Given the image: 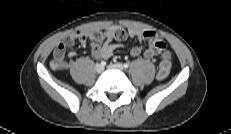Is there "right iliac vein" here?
<instances>
[{
  "mask_svg": "<svg viewBox=\"0 0 231 134\" xmlns=\"http://www.w3.org/2000/svg\"><path fill=\"white\" fill-rule=\"evenodd\" d=\"M104 67L101 64H96L95 71L97 73H101L103 71Z\"/></svg>",
  "mask_w": 231,
  "mask_h": 134,
  "instance_id": "obj_1",
  "label": "right iliac vein"
}]
</instances>
